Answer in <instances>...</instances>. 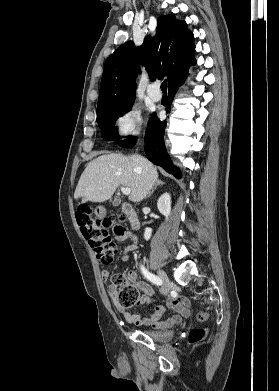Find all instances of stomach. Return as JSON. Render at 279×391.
Returning a JSON list of instances; mask_svg holds the SVG:
<instances>
[{"instance_id":"obj_1","label":"stomach","mask_w":279,"mask_h":391,"mask_svg":"<svg viewBox=\"0 0 279 391\" xmlns=\"http://www.w3.org/2000/svg\"><path fill=\"white\" fill-rule=\"evenodd\" d=\"M104 213H105V209H104L103 207H101V206H99V207H97V208L95 209V214H96L98 217L103 216Z\"/></svg>"}]
</instances>
